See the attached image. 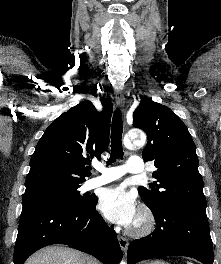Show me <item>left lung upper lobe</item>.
<instances>
[{"label": "left lung upper lobe", "mask_w": 221, "mask_h": 264, "mask_svg": "<svg viewBox=\"0 0 221 264\" xmlns=\"http://www.w3.org/2000/svg\"><path fill=\"white\" fill-rule=\"evenodd\" d=\"M133 126L146 132L142 157L157 168L149 188L138 189L145 204L152 211L171 206L206 208L195 144L181 119L168 107L144 98L133 113Z\"/></svg>", "instance_id": "left-lung-upper-lobe-1"}]
</instances>
